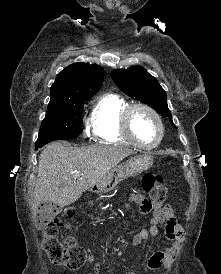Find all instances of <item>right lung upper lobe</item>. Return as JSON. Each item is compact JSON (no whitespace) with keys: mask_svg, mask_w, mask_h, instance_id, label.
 I'll use <instances>...</instances> for the list:
<instances>
[{"mask_svg":"<svg viewBox=\"0 0 221 274\" xmlns=\"http://www.w3.org/2000/svg\"><path fill=\"white\" fill-rule=\"evenodd\" d=\"M104 69L96 64L78 62L62 70L51 86L50 102L94 95L102 86Z\"/></svg>","mask_w":221,"mask_h":274,"instance_id":"obj_1","label":"right lung upper lobe"}]
</instances>
